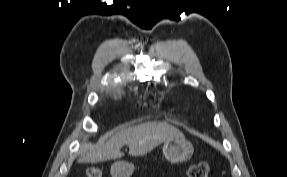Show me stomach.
<instances>
[{
    "label": "stomach",
    "mask_w": 287,
    "mask_h": 177,
    "mask_svg": "<svg viewBox=\"0 0 287 177\" xmlns=\"http://www.w3.org/2000/svg\"><path fill=\"white\" fill-rule=\"evenodd\" d=\"M193 152V145L185 138L169 139L163 145V154L171 163L186 162L192 157ZM134 169L133 164L118 161L111 166L110 172L112 177H130Z\"/></svg>",
    "instance_id": "1"
}]
</instances>
